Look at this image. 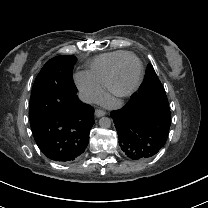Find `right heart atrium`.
<instances>
[{
    "instance_id": "1",
    "label": "right heart atrium",
    "mask_w": 208,
    "mask_h": 208,
    "mask_svg": "<svg viewBox=\"0 0 208 208\" xmlns=\"http://www.w3.org/2000/svg\"><path fill=\"white\" fill-rule=\"evenodd\" d=\"M75 80L87 100L100 102L104 98L103 89L87 73L80 72L75 74Z\"/></svg>"
}]
</instances>
